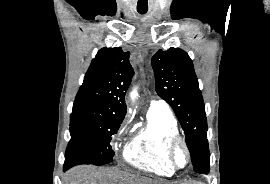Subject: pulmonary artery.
Masks as SVG:
<instances>
[{"label": "pulmonary artery", "instance_id": "obj_1", "mask_svg": "<svg viewBox=\"0 0 270 184\" xmlns=\"http://www.w3.org/2000/svg\"><path fill=\"white\" fill-rule=\"evenodd\" d=\"M150 108H167V104L162 100H152Z\"/></svg>", "mask_w": 270, "mask_h": 184}]
</instances>
